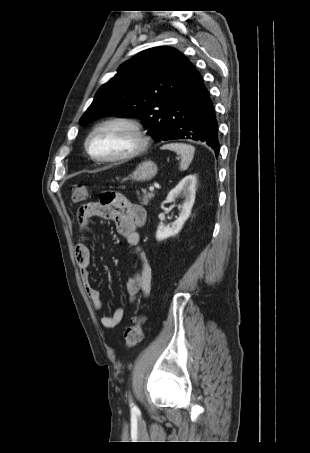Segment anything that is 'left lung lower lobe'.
Wrapping results in <instances>:
<instances>
[{
    "mask_svg": "<svg viewBox=\"0 0 310 453\" xmlns=\"http://www.w3.org/2000/svg\"><path fill=\"white\" fill-rule=\"evenodd\" d=\"M160 140L192 139L219 154L218 122L210 93L191 64L180 96L169 111Z\"/></svg>",
    "mask_w": 310,
    "mask_h": 453,
    "instance_id": "left-lung-lower-lobe-1",
    "label": "left lung lower lobe"
}]
</instances>
